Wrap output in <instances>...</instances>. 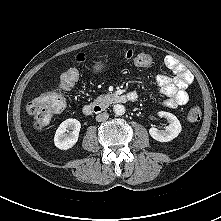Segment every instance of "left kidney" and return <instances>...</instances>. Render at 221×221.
<instances>
[{
  "mask_svg": "<svg viewBox=\"0 0 221 221\" xmlns=\"http://www.w3.org/2000/svg\"><path fill=\"white\" fill-rule=\"evenodd\" d=\"M160 117H164L168 120L169 125L165 130H158L157 128H150V136L159 142H169L176 138L182 130L181 124L177 117L169 112L160 111L158 112Z\"/></svg>",
  "mask_w": 221,
  "mask_h": 221,
  "instance_id": "1",
  "label": "left kidney"
}]
</instances>
